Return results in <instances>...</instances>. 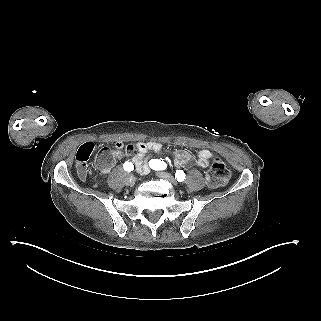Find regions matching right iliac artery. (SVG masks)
I'll return each mask as SVG.
<instances>
[{
	"label": "right iliac artery",
	"instance_id": "1",
	"mask_svg": "<svg viewBox=\"0 0 321 321\" xmlns=\"http://www.w3.org/2000/svg\"><path fill=\"white\" fill-rule=\"evenodd\" d=\"M123 167H124L125 171H127V172H130V171H132L134 169V165L130 161H126L124 163Z\"/></svg>",
	"mask_w": 321,
	"mask_h": 321
}]
</instances>
